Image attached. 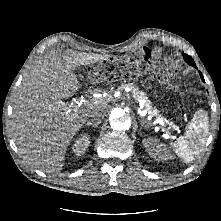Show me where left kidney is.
Returning <instances> with one entry per match:
<instances>
[{
    "label": "left kidney",
    "mask_w": 221,
    "mask_h": 221,
    "mask_svg": "<svg viewBox=\"0 0 221 221\" xmlns=\"http://www.w3.org/2000/svg\"><path fill=\"white\" fill-rule=\"evenodd\" d=\"M143 145L152 158L164 161L171 159V155L168 149L163 144L159 143L156 139H144Z\"/></svg>",
    "instance_id": "obj_1"
}]
</instances>
